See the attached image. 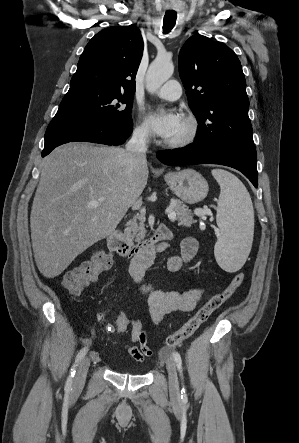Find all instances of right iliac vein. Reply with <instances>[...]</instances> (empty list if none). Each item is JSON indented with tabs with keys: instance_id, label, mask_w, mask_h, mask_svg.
Returning a JSON list of instances; mask_svg holds the SVG:
<instances>
[{
	"instance_id": "right-iliac-vein-1",
	"label": "right iliac vein",
	"mask_w": 299,
	"mask_h": 443,
	"mask_svg": "<svg viewBox=\"0 0 299 443\" xmlns=\"http://www.w3.org/2000/svg\"><path fill=\"white\" fill-rule=\"evenodd\" d=\"M90 357H85L77 370L75 379H74V383L73 386L76 390H80L83 388L84 384H85V380H86V376H87V372L90 366Z\"/></svg>"
}]
</instances>
